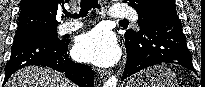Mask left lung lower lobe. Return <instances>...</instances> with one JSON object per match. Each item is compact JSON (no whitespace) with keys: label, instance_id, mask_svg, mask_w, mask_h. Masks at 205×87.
Segmentation results:
<instances>
[{"label":"left lung lower lobe","instance_id":"0a47b994","mask_svg":"<svg viewBox=\"0 0 205 87\" xmlns=\"http://www.w3.org/2000/svg\"><path fill=\"white\" fill-rule=\"evenodd\" d=\"M141 38L126 41L127 62L121 80L160 63H176L195 71L181 21L176 12L165 11L151 16Z\"/></svg>","mask_w":205,"mask_h":87}]
</instances>
